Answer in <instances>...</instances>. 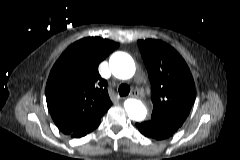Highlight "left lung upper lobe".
I'll list each match as a JSON object with an SVG mask.
<instances>
[{
  "mask_svg": "<svg viewBox=\"0 0 240 160\" xmlns=\"http://www.w3.org/2000/svg\"><path fill=\"white\" fill-rule=\"evenodd\" d=\"M138 46L151 82L153 112L150 121L175 133L195 100L192 74L181 55L160 40H139Z\"/></svg>",
  "mask_w": 240,
  "mask_h": 160,
  "instance_id": "5c2ea615",
  "label": "left lung upper lobe"
}]
</instances>
